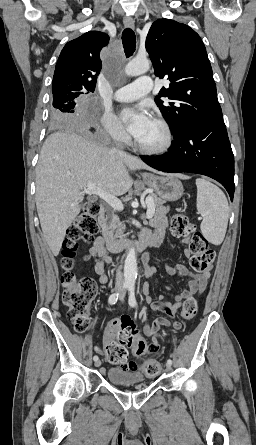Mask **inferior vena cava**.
<instances>
[{
	"label": "inferior vena cava",
	"mask_w": 256,
	"mask_h": 445,
	"mask_svg": "<svg viewBox=\"0 0 256 445\" xmlns=\"http://www.w3.org/2000/svg\"><path fill=\"white\" fill-rule=\"evenodd\" d=\"M115 281H116L115 282L116 288L118 290H120L122 288V286H123V275H122V272H121L120 268H118L116 270V279H115Z\"/></svg>",
	"instance_id": "1"
}]
</instances>
